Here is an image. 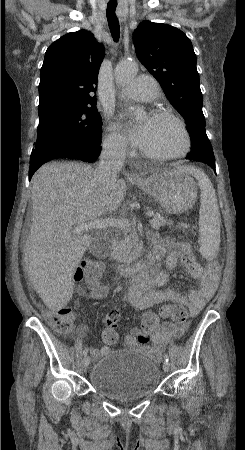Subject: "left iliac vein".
I'll return each instance as SVG.
<instances>
[{
    "label": "left iliac vein",
    "instance_id": "left-iliac-vein-1",
    "mask_svg": "<svg viewBox=\"0 0 245 450\" xmlns=\"http://www.w3.org/2000/svg\"><path fill=\"white\" fill-rule=\"evenodd\" d=\"M169 369H170V365L168 362L165 361L163 363V370L167 373V372H169Z\"/></svg>",
    "mask_w": 245,
    "mask_h": 450
}]
</instances>
